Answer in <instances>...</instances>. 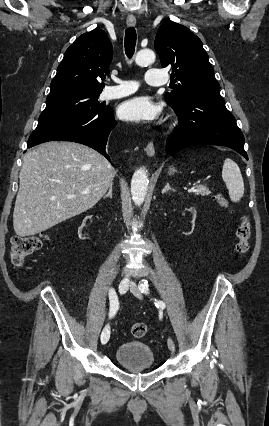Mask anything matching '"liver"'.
Wrapping results in <instances>:
<instances>
[{
  "label": "liver",
  "instance_id": "obj_1",
  "mask_svg": "<svg viewBox=\"0 0 269 426\" xmlns=\"http://www.w3.org/2000/svg\"><path fill=\"white\" fill-rule=\"evenodd\" d=\"M115 175L104 156L83 144L50 141L37 146L23 157L13 212L15 233L35 235L86 212Z\"/></svg>",
  "mask_w": 269,
  "mask_h": 426
}]
</instances>
